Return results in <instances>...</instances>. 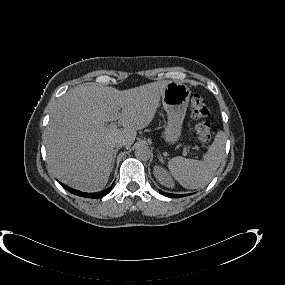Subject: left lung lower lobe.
Listing matches in <instances>:
<instances>
[{"label":"left lung lower lobe","instance_id":"1","mask_svg":"<svg viewBox=\"0 0 285 285\" xmlns=\"http://www.w3.org/2000/svg\"><path fill=\"white\" fill-rule=\"evenodd\" d=\"M161 194L168 196V197H175V198H179V197H184L186 195H179V194H170V193H165L163 191H160Z\"/></svg>","mask_w":285,"mask_h":285}]
</instances>
